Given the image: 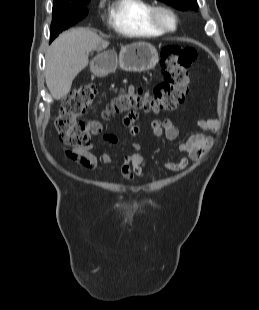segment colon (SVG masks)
Segmentation results:
<instances>
[{"mask_svg":"<svg viewBox=\"0 0 259 310\" xmlns=\"http://www.w3.org/2000/svg\"><path fill=\"white\" fill-rule=\"evenodd\" d=\"M197 57L194 47L166 45L159 61L163 81L150 93L141 88L119 93L107 106L106 115L128 111L159 113L174 110L183 103L188 93L189 70ZM96 94V87L88 84L74 89L64 100L56 120V129L64 144L75 148L85 147L100 132L97 121L80 119L94 102Z\"/></svg>","mask_w":259,"mask_h":310,"instance_id":"obj_1","label":"colon"}]
</instances>
